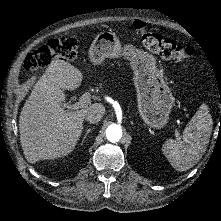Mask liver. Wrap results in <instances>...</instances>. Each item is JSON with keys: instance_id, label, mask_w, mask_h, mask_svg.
Returning a JSON list of instances; mask_svg holds the SVG:
<instances>
[{"instance_id": "6515ba94", "label": "liver", "mask_w": 221, "mask_h": 221, "mask_svg": "<svg viewBox=\"0 0 221 221\" xmlns=\"http://www.w3.org/2000/svg\"><path fill=\"white\" fill-rule=\"evenodd\" d=\"M81 80L78 69L54 60L32 87L19 116V136L28 162L69 153L79 139L85 114L105 111L99 103L75 112L61 108L65 100L61 88L74 89Z\"/></svg>"}]
</instances>
